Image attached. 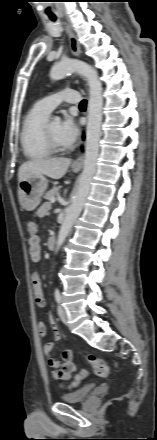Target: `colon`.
I'll use <instances>...</instances> for the list:
<instances>
[{
	"label": "colon",
	"mask_w": 157,
	"mask_h": 440,
	"mask_svg": "<svg viewBox=\"0 0 157 440\" xmlns=\"http://www.w3.org/2000/svg\"><path fill=\"white\" fill-rule=\"evenodd\" d=\"M27 232L30 237L38 235V225L34 221H29L27 223ZM87 361L92 365L97 375L104 376L108 373V364L105 360L97 358L93 355H88ZM84 375V371L77 375L71 386H76Z\"/></svg>",
	"instance_id": "5ec220e1"
}]
</instances>
